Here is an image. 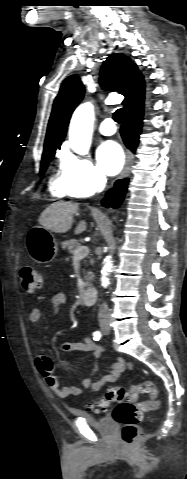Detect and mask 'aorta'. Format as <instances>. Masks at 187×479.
<instances>
[{"instance_id": "1", "label": "aorta", "mask_w": 187, "mask_h": 479, "mask_svg": "<svg viewBox=\"0 0 187 479\" xmlns=\"http://www.w3.org/2000/svg\"><path fill=\"white\" fill-rule=\"evenodd\" d=\"M94 121V107L90 102L81 104L73 113L69 127V142L73 151L79 155L89 152ZM112 269L111 257L107 256L101 270L103 287L109 285L108 274Z\"/></svg>"}]
</instances>
